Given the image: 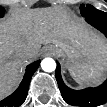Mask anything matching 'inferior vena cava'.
<instances>
[{"label": "inferior vena cava", "mask_w": 107, "mask_h": 107, "mask_svg": "<svg viewBox=\"0 0 107 107\" xmlns=\"http://www.w3.org/2000/svg\"><path fill=\"white\" fill-rule=\"evenodd\" d=\"M20 54L25 58H32L33 57V53L29 50H22V51H20Z\"/></svg>", "instance_id": "inferior-vena-cava-1"}]
</instances>
